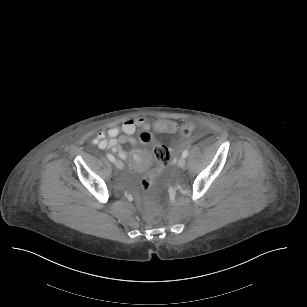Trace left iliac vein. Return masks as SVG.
Here are the masks:
<instances>
[{"instance_id": "1", "label": "left iliac vein", "mask_w": 307, "mask_h": 307, "mask_svg": "<svg viewBox=\"0 0 307 307\" xmlns=\"http://www.w3.org/2000/svg\"><path fill=\"white\" fill-rule=\"evenodd\" d=\"M186 164V159L184 157H180L178 159V162H177V165L180 167V168H183Z\"/></svg>"}]
</instances>
